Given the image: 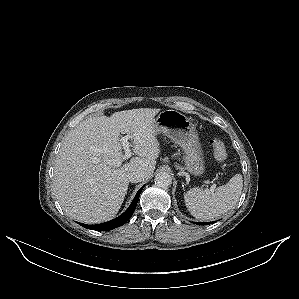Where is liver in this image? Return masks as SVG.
I'll list each match as a JSON object with an SVG mask.
<instances>
[{
	"label": "liver",
	"instance_id": "1",
	"mask_svg": "<svg viewBox=\"0 0 299 299\" xmlns=\"http://www.w3.org/2000/svg\"><path fill=\"white\" fill-rule=\"evenodd\" d=\"M159 111L139 108L89 117L69 131L53 177V190L67 215L88 224L111 220L127 193L128 174L141 169L150 178L160 153L154 130ZM121 134L131 136L137 155L124 164Z\"/></svg>",
	"mask_w": 299,
	"mask_h": 299
}]
</instances>
